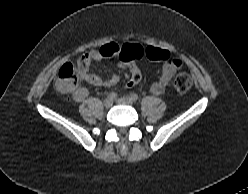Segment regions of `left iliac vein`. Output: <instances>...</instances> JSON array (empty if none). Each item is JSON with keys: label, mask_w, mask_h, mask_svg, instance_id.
I'll use <instances>...</instances> for the list:
<instances>
[{"label": "left iliac vein", "mask_w": 248, "mask_h": 194, "mask_svg": "<svg viewBox=\"0 0 248 194\" xmlns=\"http://www.w3.org/2000/svg\"><path fill=\"white\" fill-rule=\"evenodd\" d=\"M117 103L122 104V105H132L133 100L129 97H120L116 100Z\"/></svg>", "instance_id": "obj_1"}]
</instances>
